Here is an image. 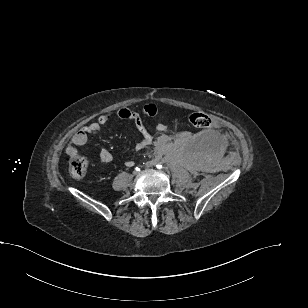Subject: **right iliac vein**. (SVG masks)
Returning a JSON list of instances; mask_svg holds the SVG:
<instances>
[{
	"label": "right iliac vein",
	"mask_w": 308,
	"mask_h": 308,
	"mask_svg": "<svg viewBox=\"0 0 308 308\" xmlns=\"http://www.w3.org/2000/svg\"><path fill=\"white\" fill-rule=\"evenodd\" d=\"M138 174V172L137 171H133V175H137Z\"/></svg>",
	"instance_id": "63e3f726"
}]
</instances>
